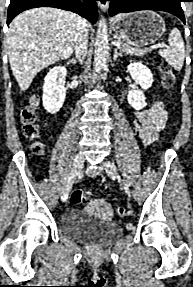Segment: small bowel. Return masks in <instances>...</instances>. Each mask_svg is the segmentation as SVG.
Instances as JSON below:
<instances>
[{
	"instance_id": "c3829d8e",
	"label": "small bowel",
	"mask_w": 193,
	"mask_h": 287,
	"mask_svg": "<svg viewBox=\"0 0 193 287\" xmlns=\"http://www.w3.org/2000/svg\"><path fill=\"white\" fill-rule=\"evenodd\" d=\"M135 116L136 120L133 122L135 132L146 144L156 138L167 119L162 102L158 99H154L149 108L135 111Z\"/></svg>"
}]
</instances>
